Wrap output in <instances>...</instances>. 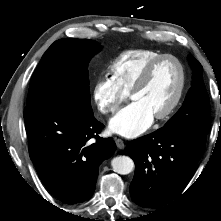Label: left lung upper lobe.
Segmentation results:
<instances>
[{"instance_id": "5c2ea615", "label": "left lung upper lobe", "mask_w": 221, "mask_h": 221, "mask_svg": "<svg viewBox=\"0 0 221 221\" xmlns=\"http://www.w3.org/2000/svg\"><path fill=\"white\" fill-rule=\"evenodd\" d=\"M194 80L182 107L160 128L167 130H195L208 133L211 123L209 97L203 82L202 66L192 58Z\"/></svg>"}]
</instances>
